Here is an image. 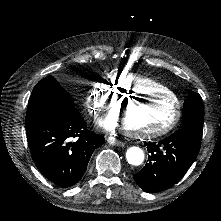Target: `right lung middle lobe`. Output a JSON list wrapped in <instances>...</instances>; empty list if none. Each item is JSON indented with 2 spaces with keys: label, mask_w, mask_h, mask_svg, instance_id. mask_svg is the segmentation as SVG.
<instances>
[{
  "label": "right lung middle lobe",
  "mask_w": 221,
  "mask_h": 221,
  "mask_svg": "<svg viewBox=\"0 0 221 221\" xmlns=\"http://www.w3.org/2000/svg\"><path fill=\"white\" fill-rule=\"evenodd\" d=\"M79 114L70 95L53 76H47L32 90L25 125L27 129L39 122L69 119Z\"/></svg>",
  "instance_id": "1"
}]
</instances>
